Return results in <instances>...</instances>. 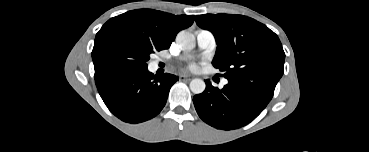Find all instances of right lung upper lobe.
<instances>
[{
    "instance_id": "right-lung-upper-lobe-1",
    "label": "right lung upper lobe",
    "mask_w": 369,
    "mask_h": 152,
    "mask_svg": "<svg viewBox=\"0 0 369 152\" xmlns=\"http://www.w3.org/2000/svg\"><path fill=\"white\" fill-rule=\"evenodd\" d=\"M195 16H175L153 9H137L108 20L102 28L114 27L138 34L153 47L167 49L177 33L188 28Z\"/></svg>"
}]
</instances>
